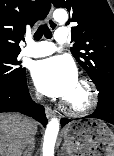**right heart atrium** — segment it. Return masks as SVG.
I'll use <instances>...</instances> for the list:
<instances>
[{
	"instance_id": "obj_1",
	"label": "right heart atrium",
	"mask_w": 114,
	"mask_h": 156,
	"mask_svg": "<svg viewBox=\"0 0 114 156\" xmlns=\"http://www.w3.org/2000/svg\"><path fill=\"white\" fill-rule=\"evenodd\" d=\"M35 97H36V98H39V96H38V95H35Z\"/></svg>"
}]
</instances>
